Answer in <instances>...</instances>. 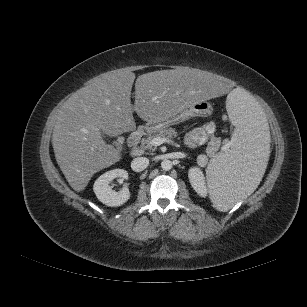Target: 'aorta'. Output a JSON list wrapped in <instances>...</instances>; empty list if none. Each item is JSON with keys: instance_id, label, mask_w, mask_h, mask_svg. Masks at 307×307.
<instances>
[{"instance_id": "1", "label": "aorta", "mask_w": 307, "mask_h": 307, "mask_svg": "<svg viewBox=\"0 0 307 307\" xmlns=\"http://www.w3.org/2000/svg\"><path fill=\"white\" fill-rule=\"evenodd\" d=\"M172 167H173V164H172V162L170 161V160H163L162 162H161V168L163 169V170H165V171H169V170H171L172 169Z\"/></svg>"}]
</instances>
